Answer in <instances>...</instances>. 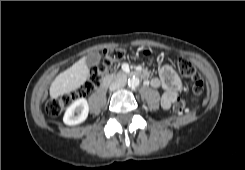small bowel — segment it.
Segmentation results:
<instances>
[{
    "label": "small bowel",
    "mask_w": 245,
    "mask_h": 170,
    "mask_svg": "<svg viewBox=\"0 0 245 170\" xmlns=\"http://www.w3.org/2000/svg\"><path fill=\"white\" fill-rule=\"evenodd\" d=\"M159 75V77L151 79L150 84L154 88L162 87L164 89L161 104L164 109H168L179 95V79L172 67L168 65L160 67Z\"/></svg>",
    "instance_id": "small-bowel-1"
}]
</instances>
